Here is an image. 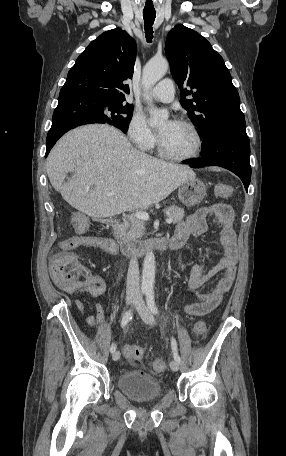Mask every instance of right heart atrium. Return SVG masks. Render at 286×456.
I'll return each instance as SVG.
<instances>
[{
	"mask_svg": "<svg viewBox=\"0 0 286 456\" xmlns=\"http://www.w3.org/2000/svg\"><path fill=\"white\" fill-rule=\"evenodd\" d=\"M127 133L133 145L141 150L151 149L156 142L155 134L141 112L133 113L128 123Z\"/></svg>",
	"mask_w": 286,
	"mask_h": 456,
	"instance_id": "right-heart-atrium-1",
	"label": "right heart atrium"
}]
</instances>
